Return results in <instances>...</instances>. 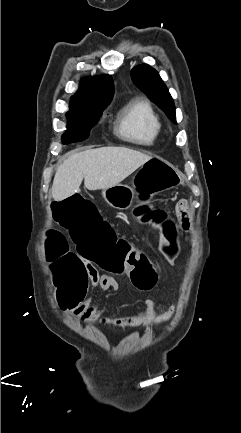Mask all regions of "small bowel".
Instances as JSON below:
<instances>
[{"label": "small bowel", "mask_w": 241, "mask_h": 433, "mask_svg": "<svg viewBox=\"0 0 241 433\" xmlns=\"http://www.w3.org/2000/svg\"><path fill=\"white\" fill-rule=\"evenodd\" d=\"M175 214L176 217L179 219V224L177 226H179L184 232H191L192 216L190 213L188 201L186 199H181L177 202ZM176 252H179V246ZM81 261L85 264V267H88L90 275L88 282H91L94 286L100 288L102 291L105 292L114 293L118 291L119 283L114 276L99 271L91 263V261H85L84 257H81ZM167 264L171 265L172 263L167 262ZM104 313V308L93 304L88 299L85 300L84 305H74V310L72 312H68V314L72 318L79 320L83 323L99 322L104 326H110L114 328H129L140 325L144 327H150L163 324L169 321L173 316L174 307L172 306L163 313L157 314L154 302L151 300H146L143 303V309L135 315L108 318L104 317Z\"/></svg>", "instance_id": "obj_1"}]
</instances>
